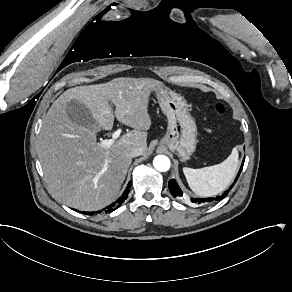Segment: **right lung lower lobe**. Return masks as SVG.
<instances>
[{
  "label": "right lung lower lobe",
  "mask_w": 292,
  "mask_h": 292,
  "mask_svg": "<svg viewBox=\"0 0 292 292\" xmlns=\"http://www.w3.org/2000/svg\"><path fill=\"white\" fill-rule=\"evenodd\" d=\"M130 186H131V182L128 183L127 188L125 189V191H124L123 195L121 196V198L118 199L116 202L112 203L111 205H109L108 207H106L108 212H112L113 210H115V208L119 207V205L125 201V199L128 196V193L130 191V189H129ZM82 213H85V214H88V215H93L94 214V212H82Z\"/></svg>",
  "instance_id": "98d812e1"
}]
</instances>
